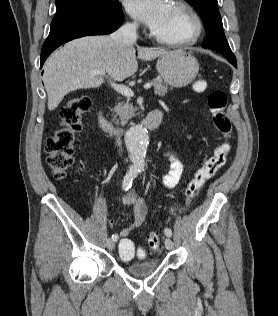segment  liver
Instances as JSON below:
<instances>
[{
  "label": "liver",
  "mask_w": 278,
  "mask_h": 316,
  "mask_svg": "<svg viewBox=\"0 0 278 316\" xmlns=\"http://www.w3.org/2000/svg\"><path fill=\"white\" fill-rule=\"evenodd\" d=\"M136 53L145 61L164 54L151 48L136 50L132 45L120 49L111 36H86L66 43L44 66L49 110H54L72 91L99 87L105 74L114 81L132 76L138 69ZM95 71L103 74L94 75Z\"/></svg>",
  "instance_id": "liver-1"
}]
</instances>
